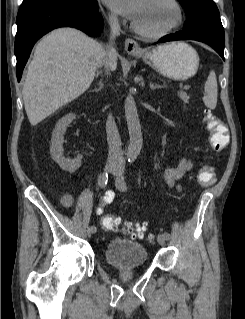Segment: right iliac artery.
Here are the masks:
<instances>
[{"mask_svg":"<svg viewBox=\"0 0 245 319\" xmlns=\"http://www.w3.org/2000/svg\"><path fill=\"white\" fill-rule=\"evenodd\" d=\"M107 182H108V173L104 172V173L100 174L98 177V183H99L100 187H102V188L105 187ZM113 198H114L113 192H111V191L106 192V195L104 197V199L106 201L112 202ZM90 228H91L93 233H96L97 229L95 226H91Z\"/></svg>","mask_w":245,"mask_h":319,"instance_id":"right-iliac-artery-1","label":"right iliac artery"}]
</instances>
